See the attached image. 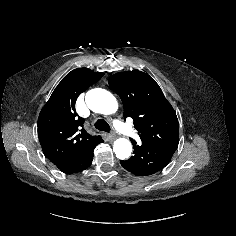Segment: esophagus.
I'll return each instance as SVG.
<instances>
[{
    "label": "esophagus",
    "instance_id": "esophagus-1",
    "mask_svg": "<svg viewBox=\"0 0 236 236\" xmlns=\"http://www.w3.org/2000/svg\"><path fill=\"white\" fill-rule=\"evenodd\" d=\"M115 138H116V135H115L114 133H111V134L109 135V139H110L111 141L115 140Z\"/></svg>",
    "mask_w": 236,
    "mask_h": 236
}]
</instances>
